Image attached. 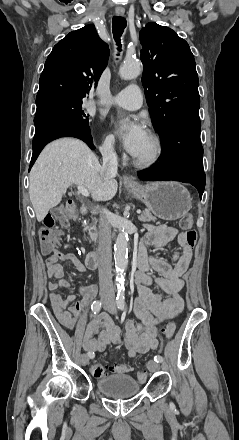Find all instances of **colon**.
<instances>
[{"label": "colon", "mask_w": 239, "mask_h": 440, "mask_svg": "<svg viewBox=\"0 0 239 440\" xmlns=\"http://www.w3.org/2000/svg\"><path fill=\"white\" fill-rule=\"evenodd\" d=\"M77 209L74 203L69 202L64 206L57 207L52 216H49L45 222L40 234L41 247L44 253H50L58 242L59 231L55 229L54 222L58 220L62 224H68L77 219ZM194 218L193 215L185 214L180 220V226L186 231V238L189 245L194 246L197 239V233L193 229ZM176 326L173 322L167 324L164 328V333L167 339H171L175 334ZM128 371V367L124 364L115 366H105L100 362H93L91 365V373L94 377L100 378L107 376L111 372L124 373ZM139 381H144L146 375L144 371H139L137 374Z\"/></svg>", "instance_id": "obj_1"}]
</instances>
